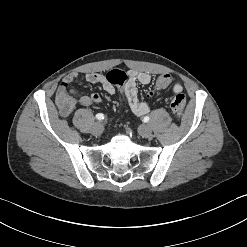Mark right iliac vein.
Returning a JSON list of instances; mask_svg holds the SVG:
<instances>
[{"label": "right iliac vein", "instance_id": "63e3f726", "mask_svg": "<svg viewBox=\"0 0 247 247\" xmlns=\"http://www.w3.org/2000/svg\"><path fill=\"white\" fill-rule=\"evenodd\" d=\"M104 130L103 124L101 122H96L92 128V133L94 135H100L102 134Z\"/></svg>", "mask_w": 247, "mask_h": 247}]
</instances>
